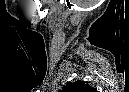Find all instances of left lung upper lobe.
<instances>
[{
  "mask_svg": "<svg viewBox=\"0 0 129 92\" xmlns=\"http://www.w3.org/2000/svg\"><path fill=\"white\" fill-rule=\"evenodd\" d=\"M96 90L86 84L84 81L68 83L61 92H95Z\"/></svg>",
  "mask_w": 129,
  "mask_h": 92,
  "instance_id": "1",
  "label": "left lung upper lobe"
}]
</instances>
